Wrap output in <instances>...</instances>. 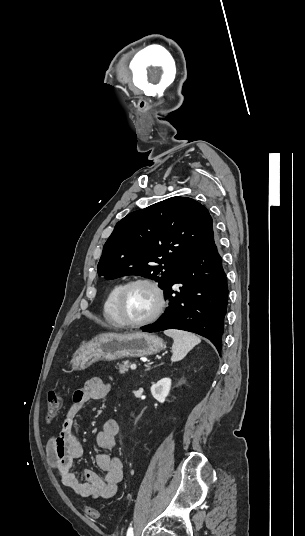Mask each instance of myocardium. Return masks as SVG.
Masks as SVG:
<instances>
[{
	"label": "myocardium",
	"instance_id": "obj_1",
	"mask_svg": "<svg viewBox=\"0 0 305 536\" xmlns=\"http://www.w3.org/2000/svg\"><path fill=\"white\" fill-rule=\"evenodd\" d=\"M136 284L147 285L155 292L157 296V306H156V309L146 318L140 321L130 322V321L125 320L124 318L123 299L127 290L131 286L136 285ZM165 305H166V297H165V293L161 285L156 280L152 278H148V277H135L125 282L120 288L116 296V300H115L116 314L121 321V326L127 327V328H140V327L148 325L149 323L157 319L162 314L165 308Z\"/></svg>",
	"mask_w": 305,
	"mask_h": 536
}]
</instances>
